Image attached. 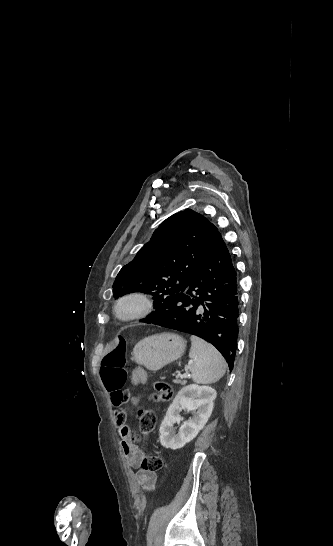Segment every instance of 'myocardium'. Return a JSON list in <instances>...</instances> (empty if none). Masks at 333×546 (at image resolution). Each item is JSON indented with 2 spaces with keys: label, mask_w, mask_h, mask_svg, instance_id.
Instances as JSON below:
<instances>
[{
  "label": "myocardium",
  "mask_w": 333,
  "mask_h": 546,
  "mask_svg": "<svg viewBox=\"0 0 333 546\" xmlns=\"http://www.w3.org/2000/svg\"><path fill=\"white\" fill-rule=\"evenodd\" d=\"M155 300L151 294L141 290L124 293L113 305V315L119 322L139 320L152 312Z\"/></svg>",
  "instance_id": "obj_1"
}]
</instances>
